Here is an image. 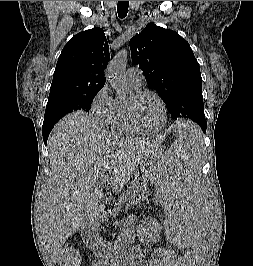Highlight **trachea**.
Listing matches in <instances>:
<instances>
[{
    "label": "trachea",
    "instance_id": "1",
    "mask_svg": "<svg viewBox=\"0 0 253 266\" xmlns=\"http://www.w3.org/2000/svg\"><path fill=\"white\" fill-rule=\"evenodd\" d=\"M129 1H118V15L120 18H125L128 13Z\"/></svg>",
    "mask_w": 253,
    "mask_h": 266
}]
</instances>
